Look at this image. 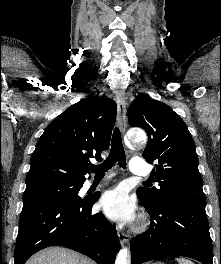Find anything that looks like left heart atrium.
I'll list each match as a JSON object with an SVG mask.
<instances>
[{"instance_id": "obj_1", "label": "left heart atrium", "mask_w": 221, "mask_h": 264, "mask_svg": "<svg viewBox=\"0 0 221 264\" xmlns=\"http://www.w3.org/2000/svg\"><path fill=\"white\" fill-rule=\"evenodd\" d=\"M99 206L113 221L129 223L135 216V201L122 186L106 190L99 200Z\"/></svg>"}]
</instances>
